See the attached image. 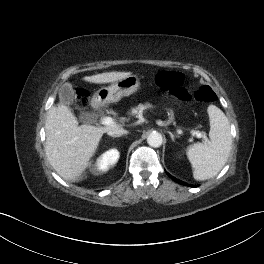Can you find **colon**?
<instances>
[{
  "label": "colon",
  "instance_id": "1",
  "mask_svg": "<svg viewBox=\"0 0 264 264\" xmlns=\"http://www.w3.org/2000/svg\"><path fill=\"white\" fill-rule=\"evenodd\" d=\"M155 82L163 91L171 94L180 101L188 102L192 99L196 102L209 103L215 100L214 91L209 86H200L191 94L183 86L184 76L180 72L163 71L160 72ZM88 92L84 89L77 88L74 93V107L82 111L88 102Z\"/></svg>",
  "mask_w": 264,
  "mask_h": 264
}]
</instances>
